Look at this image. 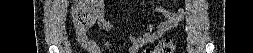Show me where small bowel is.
Masks as SVG:
<instances>
[{
	"mask_svg": "<svg viewBox=\"0 0 253 53\" xmlns=\"http://www.w3.org/2000/svg\"><path fill=\"white\" fill-rule=\"evenodd\" d=\"M92 4L95 6V10L93 12L92 20L89 25L78 27L76 29V36L79 43L83 46V48L90 53H99L100 45L93 39L88 36V33L92 27V24L97 21L98 24L107 29L111 30L112 26L105 20L104 18V6L102 1L91 0ZM160 12L165 15L166 22L157 26H148L147 31L137 37L130 36V46L129 51L132 53L137 52L143 45L153 43L157 38L163 36L164 34L171 31L175 28L178 22L184 15V9L181 8L176 12H169L165 9H161ZM105 46H109L110 44L106 42Z\"/></svg>",
	"mask_w": 253,
	"mask_h": 53,
	"instance_id": "small-bowel-1",
	"label": "small bowel"
}]
</instances>
